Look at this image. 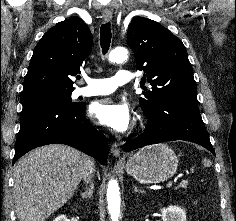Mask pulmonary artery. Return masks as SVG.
Segmentation results:
<instances>
[{
    "instance_id": "1",
    "label": "pulmonary artery",
    "mask_w": 236,
    "mask_h": 221,
    "mask_svg": "<svg viewBox=\"0 0 236 221\" xmlns=\"http://www.w3.org/2000/svg\"><path fill=\"white\" fill-rule=\"evenodd\" d=\"M135 76L128 70H118L111 78L96 79L84 77L88 84L85 87H78L75 90L76 97H89L96 95H105L114 92L119 86L132 81Z\"/></svg>"
}]
</instances>
